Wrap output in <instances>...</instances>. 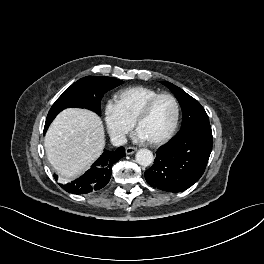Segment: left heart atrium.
I'll return each instance as SVG.
<instances>
[{"mask_svg": "<svg viewBox=\"0 0 264 264\" xmlns=\"http://www.w3.org/2000/svg\"><path fill=\"white\" fill-rule=\"evenodd\" d=\"M137 138L140 140H147L146 137L140 131H137Z\"/></svg>", "mask_w": 264, "mask_h": 264, "instance_id": "obj_1", "label": "left heart atrium"}]
</instances>
